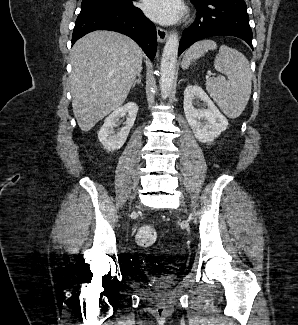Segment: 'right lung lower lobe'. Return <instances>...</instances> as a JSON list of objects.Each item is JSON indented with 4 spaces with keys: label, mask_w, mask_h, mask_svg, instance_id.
<instances>
[{
    "label": "right lung lower lobe",
    "mask_w": 298,
    "mask_h": 325,
    "mask_svg": "<svg viewBox=\"0 0 298 325\" xmlns=\"http://www.w3.org/2000/svg\"><path fill=\"white\" fill-rule=\"evenodd\" d=\"M95 30H111L125 34L137 42L151 60L155 57L156 27L135 6L125 9L80 12L73 30L72 44Z\"/></svg>",
    "instance_id": "1"
}]
</instances>
